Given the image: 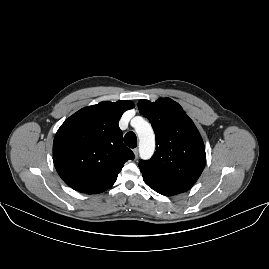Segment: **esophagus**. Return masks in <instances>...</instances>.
I'll return each mask as SVG.
<instances>
[{
    "mask_svg": "<svg viewBox=\"0 0 269 269\" xmlns=\"http://www.w3.org/2000/svg\"><path fill=\"white\" fill-rule=\"evenodd\" d=\"M133 153L135 155V160L138 158V155H139V151L137 148L133 149Z\"/></svg>",
    "mask_w": 269,
    "mask_h": 269,
    "instance_id": "obj_1",
    "label": "esophagus"
}]
</instances>
